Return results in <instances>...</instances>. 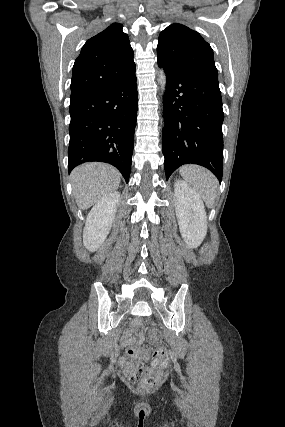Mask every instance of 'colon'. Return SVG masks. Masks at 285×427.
<instances>
[{
	"instance_id": "colon-1",
	"label": "colon",
	"mask_w": 285,
	"mask_h": 427,
	"mask_svg": "<svg viewBox=\"0 0 285 427\" xmlns=\"http://www.w3.org/2000/svg\"><path fill=\"white\" fill-rule=\"evenodd\" d=\"M208 251V246H205L202 249V253ZM145 322V319H137V324H142ZM128 355L132 358L139 356L135 350H128ZM145 358H148L147 354L143 355ZM152 361L151 366L146 367L142 362H133L132 364V376L130 382L132 385H136L139 388L150 390L156 387L159 384V378L157 372L165 368L170 361L168 351L163 347H156L152 351Z\"/></svg>"
}]
</instances>
